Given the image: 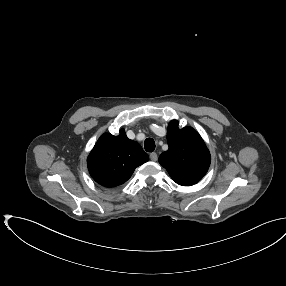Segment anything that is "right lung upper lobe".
<instances>
[{
	"label": "right lung upper lobe",
	"instance_id": "right-lung-upper-lobe-1",
	"mask_svg": "<svg viewBox=\"0 0 286 286\" xmlns=\"http://www.w3.org/2000/svg\"><path fill=\"white\" fill-rule=\"evenodd\" d=\"M148 160L140 144L128 139L122 129L118 136L103 134L90 152L87 164L98 184L112 188L125 183L135 168Z\"/></svg>",
	"mask_w": 286,
	"mask_h": 286
}]
</instances>
